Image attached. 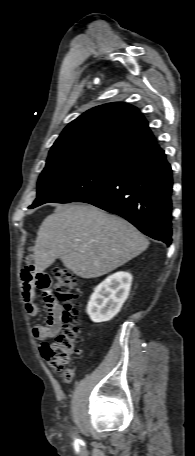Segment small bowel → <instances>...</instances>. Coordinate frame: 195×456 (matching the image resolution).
Here are the masks:
<instances>
[{
	"label": "small bowel",
	"instance_id": "1",
	"mask_svg": "<svg viewBox=\"0 0 195 456\" xmlns=\"http://www.w3.org/2000/svg\"><path fill=\"white\" fill-rule=\"evenodd\" d=\"M50 286L51 278L47 274L36 271L35 266L31 263L25 265L22 270V295L27 314L31 317L39 314V308L34 301L36 287L44 291L49 311L46 324L32 328L33 336L39 340H47L55 336L61 326L60 307L49 292Z\"/></svg>",
	"mask_w": 195,
	"mask_h": 456
}]
</instances>
